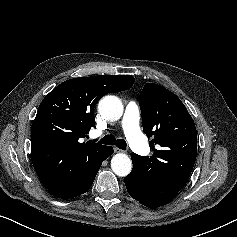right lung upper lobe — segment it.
Instances as JSON below:
<instances>
[{"mask_svg": "<svg viewBox=\"0 0 237 237\" xmlns=\"http://www.w3.org/2000/svg\"><path fill=\"white\" fill-rule=\"evenodd\" d=\"M134 81L128 75L73 78L46 95L31 128V158L50 193L69 194L80 187V163L99 156L107 147L82 142L95 127L96 103L107 93L131 88Z\"/></svg>", "mask_w": 237, "mask_h": 237, "instance_id": "cb5924a9", "label": "right lung upper lobe"}]
</instances>
